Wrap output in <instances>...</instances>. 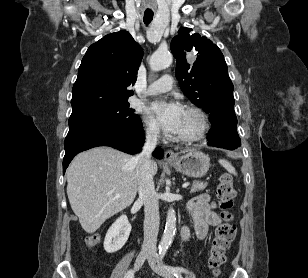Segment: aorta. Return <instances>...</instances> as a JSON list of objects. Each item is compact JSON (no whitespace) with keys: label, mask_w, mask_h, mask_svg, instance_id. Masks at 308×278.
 <instances>
[{"label":"aorta","mask_w":308,"mask_h":278,"mask_svg":"<svg viewBox=\"0 0 308 278\" xmlns=\"http://www.w3.org/2000/svg\"><path fill=\"white\" fill-rule=\"evenodd\" d=\"M172 55L168 51H156L150 59L152 71H160L172 63ZM176 231V215L172 207L168 209L165 230L159 244L161 250H166L171 244Z\"/></svg>","instance_id":"obj_1"}]
</instances>
